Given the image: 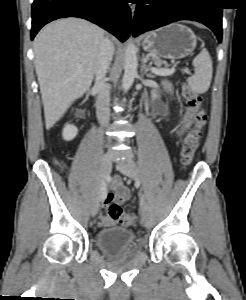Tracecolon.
Wrapping results in <instances>:
<instances>
[{
    "mask_svg": "<svg viewBox=\"0 0 246 300\" xmlns=\"http://www.w3.org/2000/svg\"><path fill=\"white\" fill-rule=\"evenodd\" d=\"M183 96L188 104L193 108H198L195 118V125L189 134L186 136L180 154V161L183 166L191 164L195 152L199 146L203 128L207 122V114L201 108L202 99L197 92L185 85L182 89ZM107 216L112 220L119 221L124 226H133L136 223L137 217L132 213H124L122 208L117 204H111L108 199L104 202Z\"/></svg>",
    "mask_w": 246,
    "mask_h": 300,
    "instance_id": "1",
    "label": "colon"
}]
</instances>
